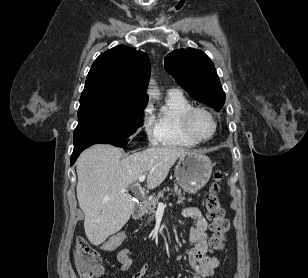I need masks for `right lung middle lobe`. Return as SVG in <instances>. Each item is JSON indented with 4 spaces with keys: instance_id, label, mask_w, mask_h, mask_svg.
<instances>
[{
    "instance_id": "1",
    "label": "right lung middle lobe",
    "mask_w": 308,
    "mask_h": 278,
    "mask_svg": "<svg viewBox=\"0 0 308 278\" xmlns=\"http://www.w3.org/2000/svg\"><path fill=\"white\" fill-rule=\"evenodd\" d=\"M144 107L78 116L73 135L74 147L97 143L125 146L143 124Z\"/></svg>"
}]
</instances>
